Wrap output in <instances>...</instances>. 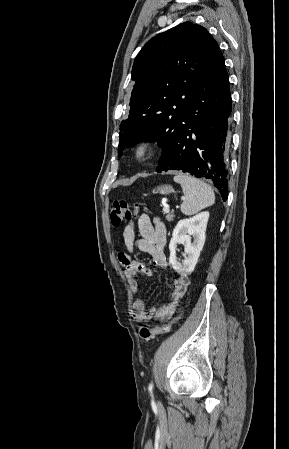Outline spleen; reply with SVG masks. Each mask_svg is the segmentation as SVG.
Returning <instances> with one entry per match:
<instances>
[{"mask_svg": "<svg viewBox=\"0 0 289 449\" xmlns=\"http://www.w3.org/2000/svg\"><path fill=\"white\" fill-rule=\"evenodd\" d=\"M174 181L181 185L185 195L180 207L183 214L193 215L214 204L215 194L207 183L184 173H177Z\"/></svg>", "mask_w": 289, "mask_h": 449, "instance_id": "1", "label": "spleen"}]
</instances>
